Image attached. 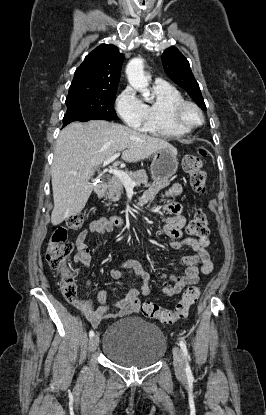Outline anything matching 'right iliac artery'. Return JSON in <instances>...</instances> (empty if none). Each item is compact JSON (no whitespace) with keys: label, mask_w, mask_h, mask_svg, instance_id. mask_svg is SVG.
I'll list each match as a JSON object with an SVG mask.
<instances>
[{"label":"right iliac artery","mask_w":266,"mask_h":415,"mask_svg":"<svg viewBox=\"0 0 266 415\" xmlns=\"http://www.w3.org/2000/svg\"><path fill=\"white\" fill-rule=\"evenodd\" d=\"M89 336H90V337H93V336H94V331H93V330H90V332H89Z\"/></svg>","instance_id":"obj_1"}]
</instances>
